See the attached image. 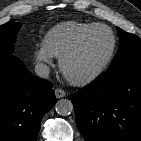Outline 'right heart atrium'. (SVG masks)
Returning a JSON list of instances; mask_svg holds the SVG:
<instances>
[{"label": "right heart atrium", "mask_w": 141, "mask_h": 141, "mask_svg": "<svg viewBox=\"0 0 141 141\" xmlns=\"http://www.w3.org/2000/svg\"><path fill=\"white\" fill-rule=\"evenodd\" d=\"M34 58L38 64L44 67L51 66L53 63V57L43 46L34 51Z\"/></svg>", "instance_id": "right-heart-atrium-1"}]
</instances>
